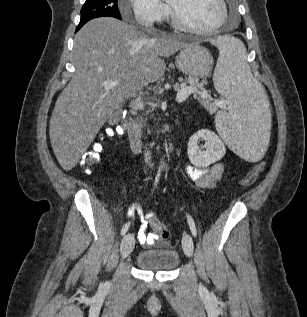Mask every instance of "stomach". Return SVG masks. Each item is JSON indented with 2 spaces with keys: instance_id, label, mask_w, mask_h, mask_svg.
Instances as JSON below:
<instances>
[{
  "instance_id": "1",
  "label": "stomach",
  "mask_w": 307,
  "mask_h": 317,
  "mask_svg": "<svg viewBox=\"0 0 307 317\" xmlns=\"http://www.w3.org/2000/svg\"><path fill=\"white\" fill-rule=\"evenodd\" d=\"M175 62L185 75L191 78H204L211 72L213 58L206 48L198 44H189L181 49Z\"/></svg>"
}]
</instances>
